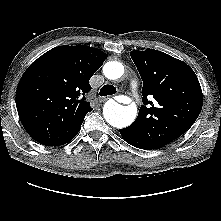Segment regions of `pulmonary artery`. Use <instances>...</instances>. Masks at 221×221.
<instances>
[{
	"instance_id": "pulmonary-artery-1",
	"label": "pulmonary artery",
	"mask_w": 221,
	"mask_h": 221,
	"mask_svg": "<svg viewBox=\"0 0 221 221\" xmlns=\"http://www.w3.org/2000/svg\"><path fill=\"white\" fill-rule=\"evenodd\" d=\"M131 85L132 87H136L137 83L135 81H132Z\"/></svg>"
}]
</instances>
